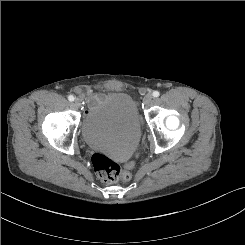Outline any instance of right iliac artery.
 Returning <instances> with one entry per match:
<instances>
[{"label": "right iliac artery", "mask_w": 245, "mask_h": 245, "mask_svg": "<svg viewBox=\"0 0 245 245\" xmlns=\"http://www.w3.org/2000/svg\"><path fill=\"white\" fill-rule=\"evenodd\" d=\"M68 100H69V101H74V96H73V95H69V96H68Z\"/></svg>", "instance_id": "obj_1"}]
</instances>
